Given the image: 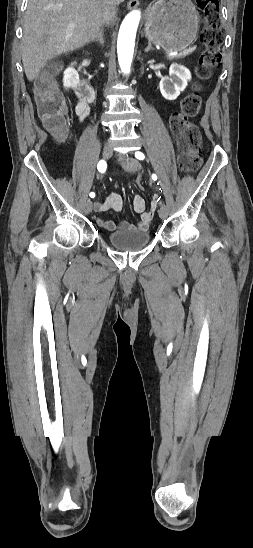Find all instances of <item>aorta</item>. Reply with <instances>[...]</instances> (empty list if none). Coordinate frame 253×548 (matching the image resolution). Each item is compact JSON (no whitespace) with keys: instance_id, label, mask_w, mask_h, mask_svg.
<instances>
[{"instance_id":"1","label":"aorta","mask_w":253,"mask_h":548,"mask_svg":"<svg viewBox=\"0 0 253 548\" xmlns=\"http://www.w3.org/2000/svg\"><path fill=\"white\" fill-rule=\"evenodd\" d=\"M141 12L133 10L124 18L117 40V53L120 68L123 73H129L132 63L135 37L140 22Z\"/></svg>"}]
</instances>
